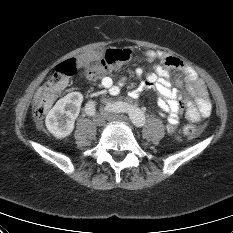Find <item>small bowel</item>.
Here are the masks:
<instances>
[{
	"label": "small bowel",
	"mask_w": 233,
	"mask_h": 233,
	"mask_svg": "<svg viewBox=\"0 0 233 233\" xmlns=\"http://www.w3.org/2000/svg\"><path fill=\"white\" fill-rule=\"evenodd\" d=\"M144 55L147 62L153 66V71L147 75L141 87L144 90L152 89L158 93L159 106L168 114V131L175 129L183 114L192 122H199L210 114L211 102L207 88L195 70L179 59L158 50H148ZM80 63L84 65L86 61L81 59ZM171 69H177L184 74L186 95H182L173 87ZM142 73L141 68L135 72L138 78L142 76ZM128 82L127 76H122L116 82L110 76H104L99 87L110 95L116 96ZM175 84L180 87L182 82L176 79Z\"/></svg>",
	"instance_id": "small-bowel-1"
}]
</instances>
